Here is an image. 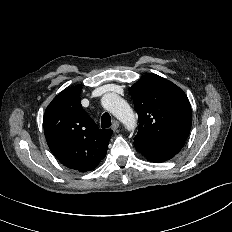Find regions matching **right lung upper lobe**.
I'll return each instance as SVG.
<instances>
[{"label":"right lung upper lobe","mask_w":232,"mask_h":232,"mask_svg":"<svg viewBox=\"0 0 232 232\" xmlns=\"http://www.w3.org/2000/svg\"><path fill=\"white\" fill-rule=\"evenodd\" d=\"M81 86L58 94L45 111L43 125L47 144L66 167L80 172L93 170L105 157L112 130H101L83 110Z\"/></svg>","instance_id":"right-lung-upper-lobe-1"}]
</instances>
